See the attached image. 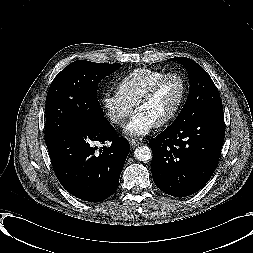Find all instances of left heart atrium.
Here are the masks:
<instances>
[{
	"label": "left heart atrium",
	"mask_w": 253,
	"mask_h": 253,
	"mask_svg": "<svg viewBox=\"0 0 253 253\" xmlns=\"http://www.w3.org/2000/svg\"><path fill=\"white\" fill-rule=\"evenodd\" d=\"M157 123L143 113L137 112L129 124L125 127V134L141 138L151 132Z\"/></svg>",
	"instance_id": "39dd6f15"
}]
</instances>
